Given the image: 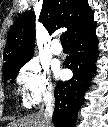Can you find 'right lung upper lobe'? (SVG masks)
<instances>
[{
    "label": "right lung upper lobe",
    "mask_w": 108,
    "mask_h": 127,
    "mask_svg": "<svg viewBox=\"0 0 108 127\" xmlns=\"http://www.w3.org/2000/svg\"><path fill=\"white\" fill-rule=\"evenodd\" d=\"M39 20L49 34L66 27L68 38L93 20L87 0H43ZM35 15L22 13L9 31L4 53V65H13L33 56ZM3 65V66H4Z\"/></svg>",
    "instance_id": "1"
}]
</instances>
